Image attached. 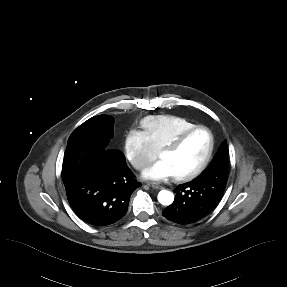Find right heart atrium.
Returning <instances> with one entry per match:
<instances>
[{"label": "right heart atrium", "mask_w": 287, "mask_h": 287, "mask_svg": "<svg viewBox=\"0 0 287 287\" xmlns=\"http://www.w3.org/2000/svg\"><path fill=\"white\" fill-rule=\"evenodd\" d=\"M123 148L126 159L137 170H143L157 157V150L147 136L136 129L126 133Z\"/></svg>", "instance_id": "right-heart-atrium-1"}]
</instances>
